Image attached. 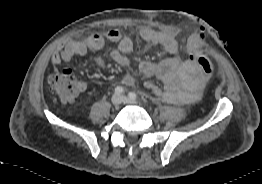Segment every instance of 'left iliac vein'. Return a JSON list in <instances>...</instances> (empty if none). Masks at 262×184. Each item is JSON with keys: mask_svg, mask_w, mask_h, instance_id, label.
Listing matches in <instances>:
<instances>
[{"mask_svg": "<svg viewBox=\"0 0 262 184\" xmlns=\"http://www.w3.org/2000/svg\"><path fill=\"white\" fill-rule=\"evenodd\" d=\"M122 97V102L126 103V104H137L138 102L136 101V99H131L129 97L126 96H121Z\"/></svg>", "mask_w": 262, "mask_h": 184, "instance_id": "obj_1", "label": "left iliac vein"}]
</instances>
